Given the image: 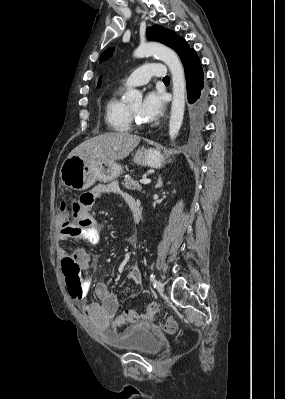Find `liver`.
<instances>
[{"label": "liver", "instance_id": "1", "mask_svg": "<svg viewBox=\"0 0 285 399\" xmlns=\"http://www.w3.org/2000/svg\"><path fill=\"white\" fill-rule=\"evenodd\" d=\"M140 137L126 132H108L84 141L68 157L79 156L90 162L126 158L140 142Z\"/></svg>", "mask_w": 285, "mask_h": 399}]
</instances>
